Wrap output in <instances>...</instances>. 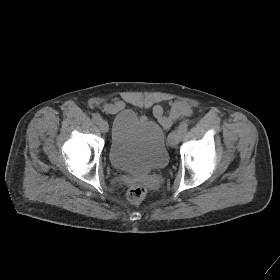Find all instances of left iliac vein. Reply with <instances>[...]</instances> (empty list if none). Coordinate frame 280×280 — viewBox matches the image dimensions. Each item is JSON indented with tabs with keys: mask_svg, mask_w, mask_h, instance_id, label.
I'll list each match as a JSON object with an SVG mask.
<instances>
[{
	"mask_svg": "<svg viewBox=\"0 0 280 280\" xmlns=\"http://www.w3.org/2000/svg\"><path fill=\"white\" fill-rule=\"evenodd\" d=\"M181 140V134L178 131H173L170 133L169 138H168V143L170 146H175L177 145Z\"/></svg>",
	"mask_w": 280,
	"mask_h": 280,
	"instance_id": "obj_1",
	"label": "left iliac vein"
}]
</instances>
